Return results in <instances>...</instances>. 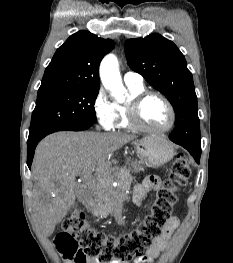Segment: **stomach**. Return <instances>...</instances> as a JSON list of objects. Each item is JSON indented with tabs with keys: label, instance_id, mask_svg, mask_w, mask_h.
I'll list each match as a JSON object with an SVG mask.
<instances>
[{
	"label": "stomach",
	"instance_id": "0dacf381",
	"mask_svg": "<svg viewBox=\"0 0 233 263\" xmlns=\"http://www.w3.org/2000/svg\"><path fill=\"white\" fill-rule=\"evenodd\" d=\"M139 161L135 163L137 170H142V165L161 166L170 161L174 150L167 139L160 136H144L135 142Z\"/></svg>",
	"mask_w": 233,
	"mask_h": 263
}]
</instances>
